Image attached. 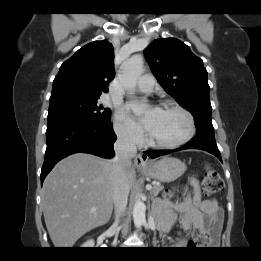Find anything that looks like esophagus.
I'll use <instances>...</instances> for the list:
<instances>
[{"instance_id":"34e87169","label":"esophagus","mask_w":261,"mask_h":261,"mask_svg":"<svg viewBox=\"0 0 261 261\" xmlns=\"http://www.w3.org/2000/svg\"><path fill=\"white\" fill-rule=\"evenodd\" d=\"M134 164L137 169H145L150 166L149 158L144 153H139L135 159Z\"/></svg>"}]
</instances>
